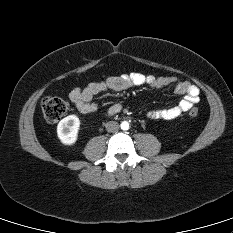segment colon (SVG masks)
<instances>
[{"label":"colon","mask_w":233,"mask_h":233,"mask_svg":"<svg viewBox=\"0 0 233 233\" xmlns=\"http://www.w3.org/2000/svg\"><path fill=\"white\" fill-rule=\"evenodd\" d=\"M42 112L45 119L50 123L58 122L67 112V102L56 96L47 95L41 101ZM199 114V109L193 107L189 110V116L196 117Z\"/></svg>","instance_id":"1"}]
</instances>
